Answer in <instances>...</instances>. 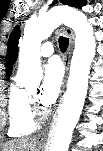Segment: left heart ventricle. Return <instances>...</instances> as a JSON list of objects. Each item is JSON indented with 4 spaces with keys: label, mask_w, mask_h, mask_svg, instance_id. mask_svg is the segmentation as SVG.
<instances>
[{
    "label": "left heart ventricle",
    "mask_w": 103,
    "mask_h": 151,
    "mask_svg": "<svg viewBox=\"0 0 103 151\" xmlns=\"http://www.w3.org/2000/svg\"><path fill=\"white\" fill-rule=\"evenodd\" d=\"M32 93H33V94H35L36 92H35V91H33Z\"/></svg>",
    "instance_id": "obj_1"
}]
</instances>
